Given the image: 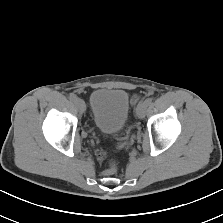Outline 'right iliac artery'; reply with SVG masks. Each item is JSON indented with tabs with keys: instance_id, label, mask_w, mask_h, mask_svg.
Here are the masks:
<instances>
[{
	"instance_id": "right-iliac-artery-1",
	"label": "right iliac artery",
	"mask_w": 223,
	"mask_h": 223,
	"mask_svg": "<svg viewBox=\"0 0 223 223\" xmlns=\"http://www.w3.org/2000/svg\"><path fill=\"white\" fill-rule=\"evenodd\" d=\"M69 99H70L71 101L75 102V100L77 99V97H76L75 94L70 93V94H69Z\"/></svg>"
}]
</instances>
